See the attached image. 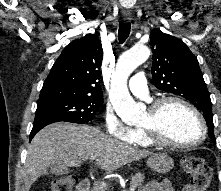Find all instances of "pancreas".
<instances>
[{
	"label": "pancreas",
	"instance_id": "obj_1",
	"mask_svg": "<svg viewBox=\"0 0 221 191\" xmlns=\"http://www.w3.org/2000/svg\"><path fill=\"white\" fill-rule=\"evenodd\" d=\"M144 174L137 173L135 175H132L131 182H130V188L135 189L138 186H141L144 181ZM91 191H107L106 187L103 186L101 183H96L93 185Z\"/></svg>",
	"mask_w": 221,
	"mask_h": 191
}]
</instances>
